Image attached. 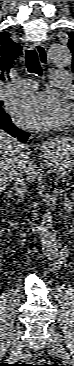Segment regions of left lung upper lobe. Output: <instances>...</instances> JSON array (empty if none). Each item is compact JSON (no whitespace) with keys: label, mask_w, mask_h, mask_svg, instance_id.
I'll return each instance as SVG.
<instances>
[{"label":"left lung upper lobe","mask_w":74,"mask_h":366,"mask_svg":"<svg viewBox=\"0 0 74 366\" xmlns=\"http://www.w3.org/2000/svg\"><path fill=\"white\" fill-rule=\"evenodd\" d=\"M69 42H68V47L71 50V52L73 53L72 57V71L74 72V32L69 33ZM74 84V83H73Z\"/></svg>","instance_id":"left-lung-upper-lobe-1"}]
</instances>
